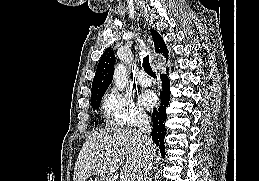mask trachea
Instances as JSON below:
<instances>
[{
    "label": "trachea",
    "instance_id": "3493384b",
    "mask_svg": "<svg viewBox=\"0 0 259 181\" xmlns=\"http://www.w3.org/2000/svg\"><path fill=\"white\" fill-rule=\"evenodd\" d=\"M143 67H144V70L145 72L150 75L151 77H156V74L154 73V71L152 70V67L150 65V62H149V56H145L143 58Z\"/></svg>",
    "mask_w": 259,
    "mask_h": 181
}]
</instances>
